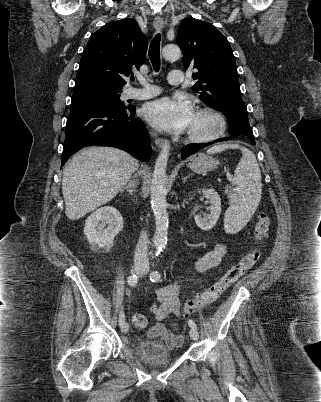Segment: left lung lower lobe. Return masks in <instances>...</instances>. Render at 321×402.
I'll return each mask as SVG.
<instances>
[{"mask_svg": "<svg viewBox=\"0 0 321 402\" xmlns=\"http://www.w3.org/2000/svg\"><path fill=\"white\" fill-rule=\"evenodd\" d=\"M229 123H230V130L232 136H236L238 134H244L246 135L253 144H255V139L253 136L252 129L249 124L248 120V115H245L242 110H238V113H235L232 117L227 118ZM227 138H220L215 141L205 143V144H192L196 145L195 147L191 146H186L183 148V153H182V159H185L186 157L190 156L194 152L207 147L209 145H212L216 142H221V141H226Z\"/></svg>", "mask_w": 321, "mask_h": 402, "instance_id": "0a47b994", "label": "left lung lower lobe"}]
</instances>
